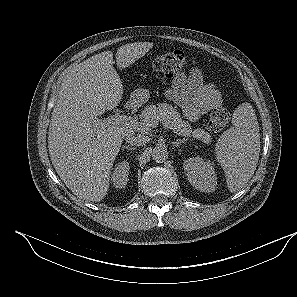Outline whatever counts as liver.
Returning <instances> with one entry per match:
<instances>
[{
	"label": "liver",
	"instance_id": "liver-1",
	"mask_svg": "<svg viewBox=\"0 0 297 297\" xmlns=\"http://www.w3.org/2000/svg\"><path fill=\"white\" fill-rule=\"evenodd\" d=\"M151 42L122 45L117 64L125 68L143 57ZM123 84L113 67L112 51L94 55L64 77L53 109L48 150L55 171L78 198L101 201L122 141L134 132L123 125H102L98 116L118 106Z\"/></svg>",
	"mask_w": 297,
	"mask_h": 297
}]
</instances>
